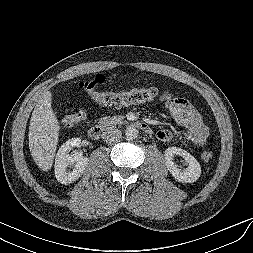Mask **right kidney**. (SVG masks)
I'll list each match as a JSON object with an SVG mask.
<instances>
[{
  "mask_svg": "<svg viewBox=\"0 0 253 253\" xmlns=\"http://www.w3.org/2000/svg\"><path fill=\"white\" fill-rule=\"evenodd\" d=\"M82 144L80 138H72L63 143L59 148L55 158V177L62 184H70L82 175L88 165L89 159L81 156V154H69L73 147ZM73 166L70 171L67 168Z\"/></svg>",
  "mask_w": 253,
  "mask_h": 253,
  "instance_id": "right-kidney-1",
  "label": "right kidney"
}]
</instances>
